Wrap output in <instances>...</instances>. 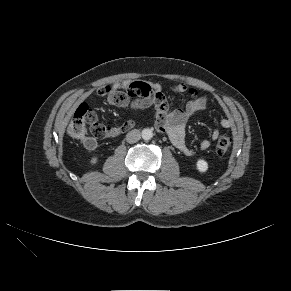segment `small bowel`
<instances>
[{"label": "small bowel", "instance_id": "1", "mask_svg": "<svg viewBox=\"0 0 291 291\" xmlns=\"http://www.w3.org/2000/svg\"><path fill=\"white\" fill-rule=\"evenodd\" d=\"M175 93L190 95L191 99L182 109L168 110L166 96L158 84H147L139 81H124L114 83L111 86L100 88L97 91L98 96H105L106 101L111 106L121 108L143 109L154 106L157 110L155 127L159 132L166 133L171 143L184 155L192 156L193 150L186 143V122L199 111L203 110L208 104V97L199 94L194 88L184 83H177L172 87ZM223 128H229L231 121L224 118L220 121ZM219 135L218 130L212 132V139ZM96 141L93 140L92 146L85 145L88 149H93ZM211 146L209 139L200 142V148L203 150Z\"/></svg>", "mask_w": 291, "mask_h": 291}]
</instances>
